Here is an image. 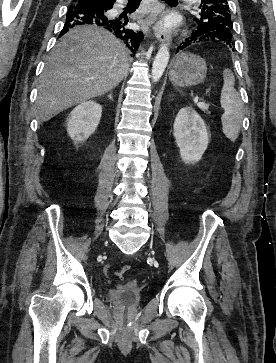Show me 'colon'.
Wrapping results in <instances>:
<instances>
[{
    "mask_svg": "<svg viewBox=\"0 0 276 363\" xmlns=\"http://www.w3.org/2000/svg\"><path fill=\"white\" fill-rule=\"evenodd\" d=\"M130 270V266H124L121 271L119 272L120 275L125 274L126 272H128Z\"/></svg>",
    "mask_w": 276,
    "mask_h": 363,
    "instance_id": "1",
    "label": "colon"
}]
</instances>
